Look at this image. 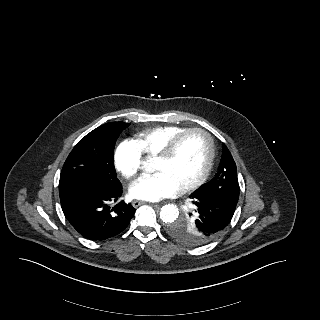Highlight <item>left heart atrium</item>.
<instances>
[{"label": "left heart atrium", "mask_w": 320, "mask_h": 320, "mask_svg": "<svg viewBox=\"0 0 320 320\" xmlns=\"http://www.w3.org/2000/svg\"><path fill=\"white\" fill-rule=\"evenodd\" d=\"M180 187L166 174L155 173L142 177L130 186V195L138 200L158 201L176 195Z\"/></svg>", "instance_id": "left-heart-atrium-1"}]
</instances>
